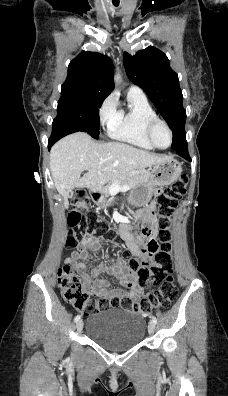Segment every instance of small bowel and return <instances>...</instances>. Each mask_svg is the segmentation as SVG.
<instances>
[{"label": "small bowel", "mask_w": 228, "mask_h": 396, "mask_svg": "<svg viewBox=\"0 0 228 396\" xmlns=\"http://www.w3.org/2000/svg\"><path fill=\"white\" fill-rule=\"evenodd\" d=\"M155 208V203L151 202L142 213H148L152 215ZM157 232V226L155 217L151 223V234L155 235ZM121 238L125 241L129 251L137 257L143 258L145 261H151L152 253H148L145 248L141 247L134 239L130 232V228L127 223H123L119 229ZM100 249L99 238L94 232L87 234L85 242L80 243L77 249L73 251L70 256L64 259V263L71 265L85 281L87 291L96 296H103L105 298L119 297L127 292L123 288L109 289V282L104 278H100L98 274L100 272H107L119 280L120 284L128 289V293L138 298L141 296L143 290L137 284L135 277L125 272L126 263L124 261H118L110 266L98 265L93 271H89L83 260L89 257L91 251H98Z\"/></svg>", "instance_id": "small-bowel-1"}]
</instances>
